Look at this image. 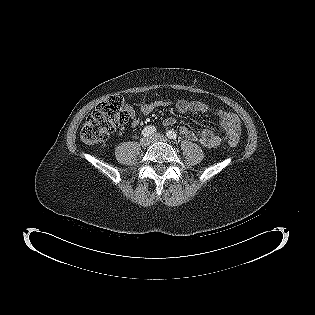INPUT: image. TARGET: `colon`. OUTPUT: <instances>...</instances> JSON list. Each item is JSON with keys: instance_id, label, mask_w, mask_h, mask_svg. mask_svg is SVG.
<instances>
[{"instance_id": "obj_1", "label": "colon", "mask_w": 315, "mask_h": 315, "mask_svg": "<svg viewBox=\"0 0 315 315\" xmlns=\"http://www.w3.org/2000/svg\"><path fill=\"white\" fill-rule=\"evenodd\" d=\"M129 119L124 99L113 95L101 102L88 116L80 132L81 140L85 144H96L106 141L111 133L124 125ZM236 146V141L229 142Z\"/></svg>"}]
</instances>
